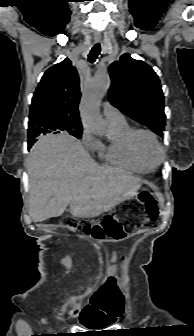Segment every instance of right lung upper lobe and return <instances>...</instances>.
Returning <instances> with one entry per match:
<instances>
[{
	"instance_id": "1",
	"label": "right lung upper lobe",
	"mask_w": 194,
	"mask_h": 336,
	"mask_svg": "<svg viewBox=\"0 0 194 336\" xmlns=\"http://www.w3.org/2000/svg\"><path fill=\"white\" fill-rule=\"evenodd\" d=\"M79 77L69 59L50 67L34 93L29 115L28 144L39 135L82 130L79 119Z\"/></svg>"
}]
</instances>
